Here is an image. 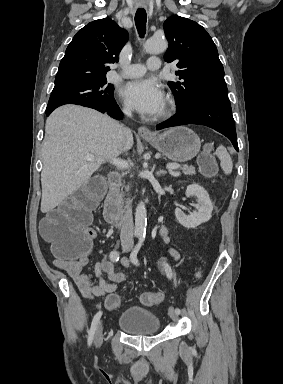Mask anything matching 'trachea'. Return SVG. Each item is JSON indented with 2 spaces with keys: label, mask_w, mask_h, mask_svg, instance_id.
<instances>
[{
  "label": "trachea",
  "mask_w": 283,
  "mask_h": 384,
  "mask_svg": "<svg viewBox=\"0 0 283 384\" xmlns=\"http://www.w3.org/2000/svg\"><path fill=\"white\" fill-rule=\"evenodd\" d=\"M146 22L147 17L144 8H138L135 14V25L141 38H143L146 33Z\"/></svg>",
  "instance_id": "1"
}]
</instances>
